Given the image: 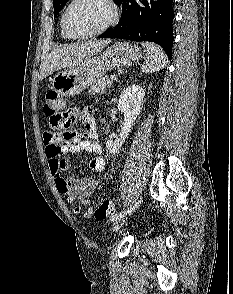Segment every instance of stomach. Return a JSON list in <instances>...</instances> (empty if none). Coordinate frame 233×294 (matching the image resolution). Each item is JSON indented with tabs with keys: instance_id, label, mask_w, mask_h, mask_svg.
<instances>
[{
	"instance_id": "obj_1",
	"label": "stomach",
	"mask_w": 233,
	"mask_h": 294,
	"mask_svg": "<svg viewBox=\"0 0 233 294\" xmlns=\"http://www.w3.org/2000/svg\"><path fill=\"white\" fill-rule=\"evenodd\" d=\"M142 57L140 48L130 42H117L99 55L59 72L52 88L62 97L81 93L114 68L130 66Z\"/></svg>"
}]
</instances>
